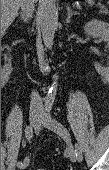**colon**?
Here are the masks:
<instances>
[{
	"label": "colon",
	"mask_w": 109,
	"mask_h": 170,
	"mask_svg": "<svg viewBox=\"0 0 109 170\" xmlns=\"http://www.w3.org/2000/svg\"><path fill=\"white\" fill-rule=\"evenodd\" d=\"M35 170H46V169H44V168H36Z\"/></svg>",
	"instance_id": "colon-1"
}]
</instances>
